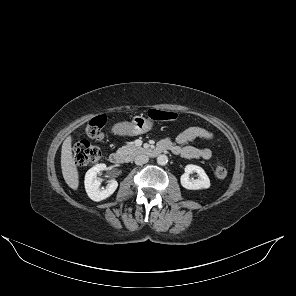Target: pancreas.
<instances>
[{"label":"pancreas","instance_id":"cf45deb5","mask_svg":"<svg viewBox=\"0 0 296 296\" xmlns=\"http://www.w3.org/2000/svg\"><path fill=\"white\" fill-rule=\"evenodd\" d=\"M143 150L144 149L142 147H137L134 144H129V145L119 148L118 152L122 153L127 158H132V157L136 156L137 154L142 153Z\"/></svg>","mask_w":296,"mask_h":296}]
</instances>
